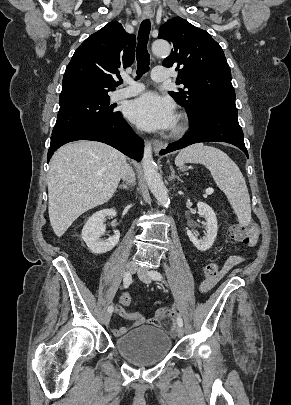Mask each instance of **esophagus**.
Masks as SVG:
<instances>
[{
  "label": "esophagus",
  "instance_id": "obj_1",
  "mask_svg": "<svg viewBox=\"0 0 291 405\" xmlns=\"http://www.w3.org/2000/svg\"><path fill=\"white\" fill-rule=\"evenodd\" d=\"M152 17V12L151 11H143V18L144 19H148ZM152 59L154 60V58L152 57ZM164 147V143L160 140H155L153 142V149L154 152L157 153L159 152L162 148Z\"/></svg>",
  "mask_w": 291,
  "mask_h": 405
}]
</instances>
